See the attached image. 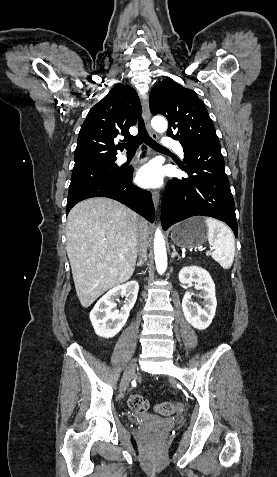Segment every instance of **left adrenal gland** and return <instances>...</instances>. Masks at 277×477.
Returning <instances> with one entry per match:
<instances>
[{
    "instance_id": "obj_1",
    "label": "left adrenal gland",
    "mask_w": 277,
    "mask_h": 477,
    "mask_svg": "<svg viewBox=\"0 0 277 477\" xmlns=\"http://www.w3.org/2000/svg\"><path fill=\"white\" fill-rule=\"evenodd\" d=\"M172 249H173V253H172V255H171V258H174L175 256H177V257L180 259L181 257H180V255L176 252L174 245H172Z\"/></svg>"
}]
</instances>
